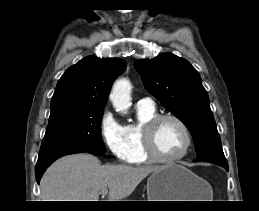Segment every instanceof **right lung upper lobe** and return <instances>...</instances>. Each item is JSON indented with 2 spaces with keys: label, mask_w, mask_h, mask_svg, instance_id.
Listing matches in <instances>:
<instances>
[{
  "label": "right lung upper lobe",
  "mask_w": 259,
  "mask_h": 211,
  "mask_svg": "<svg viewBox=\"0 0 259 211\" xmlns=\"http://www.w3.org/2000/svg\"><path fill=\"white\" fill-rule=\"evenodd\" d=\"M125 67L126 62L119 58H83L58 81L50 117L77 108L104 109L111 85Z\"/></svg>",
  "instance_id": "right-lung-upper-lobe-1"
}]
</instances>
